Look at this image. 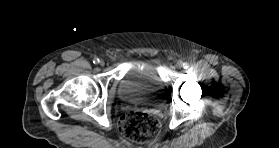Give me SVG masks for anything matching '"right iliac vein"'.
<instances>
[{
  "mask_svg": "<svg viewBox=\"0 0 279 148\" xmlns=\"http://www.w3.org/2000/svg\"><path fill=\"white\" fill-rule=\"evenodd\" d=\"M100 65L104 66L105 65L104 61H100Z\"/></svg>",
  "mask_w": 279,
  "mask_h": 148,
  "instance_id": "obj_1",
  "label": "right iliac vein"
}]
</instances>
